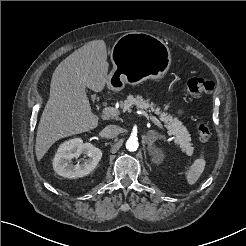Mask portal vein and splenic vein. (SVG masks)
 Returning <instances> with one entry per match:
<instances>
[{
	"label": "portal vein and splenic vein",
	"instance_id": "portal-vein-and-splenic-vein-1",
	"mask_svg": "<svg viewBox=\"0 0 246 246\" xmlns=\"http://www.w3.org/2000/svg\"><path fill=\"white\" fill-rule=\"evenodd\" d=\"M103 114L107 117H118L120 115V110L114 108V107H106L103 109ZM155 125L162 128V124L155 116H147Z\"/></svg>",
	"mask_w": 246,
	"mask_h": 246
}]
</instances>
